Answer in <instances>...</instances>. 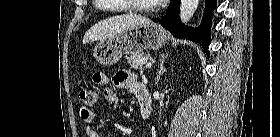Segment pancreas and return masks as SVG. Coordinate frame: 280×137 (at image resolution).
Returning <instances> with one entry per match:
<instances>
[{
    "mask_svg": "<svg viewBox=\"0 0 280 137\" xmlns=\"http://www.w3.org/2000/svg\"><path fill=\"white\" fill-rule=\"evenodd\" d=\"M151 59V56L149 54H137L132 55L127 59V63L133 68V69H143V65L146 63L147 60Z\"/></svg>",
    "mask_w": 280,
    "mask_h": 137,
    "instance_id": "1",
    "label": "pancreas"
}]
</instances>
